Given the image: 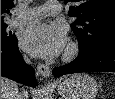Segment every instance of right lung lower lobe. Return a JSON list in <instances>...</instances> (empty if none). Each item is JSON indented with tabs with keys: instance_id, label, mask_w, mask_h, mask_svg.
<instances>
[{
	"instance_id": "1",
	"label": "right lung lower lobe",
	"mask_w": 115,
	"mask_h": 99,
	"mask_svg": "<svg viewBox=\"0 0 115 99\" xmlns=\"http://www.w3.org/2000/svg\"><path fill=\"white\" fill-rule=\"evenodd\" d=\"M1 76L27 86H36L35 72L24 63L15 36L10 41L1 43Z\"/></svg>"
}]
</instances>
